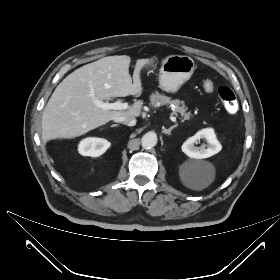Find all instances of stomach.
I'll list each match as a JSON object with an SVG mask.
<instances>
[{"instance_id": "stomach-1", "label": "stomach", "mask_w": 280, "mask_h": 280, "mask_svg": "<svg viewBox=\"0 0 280 280\" xmlns=\"http://www.w3.org/2000/svg\"><path fill=\"white\" fill-rule=\"evenodd\" d=\"M147 67H154L155 57L148 59ZM195 70L194 60L186 55H171L161 63L159 87L168 93H176L187 82Z\"/></svg>"}]
</instances>
